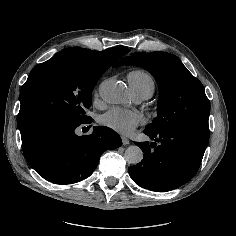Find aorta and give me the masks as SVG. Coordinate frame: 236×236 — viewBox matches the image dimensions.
<instances>
[{
	"instance_id": "762f6f07",
	"label": "aorta",
	"mask_w": 236,
	"mask_h": 236,
	"mask_svg": "<svg viewBox=\"0 0 236 236\" xmlns=\"http://www.w3.org/2000/svg\"><path fill=\"white\" fill-rule=\"evenodd\" d=\"M100 95L107 103H121L125 99V87L122 83L115 80H108L101 85ZM128 163L136 165L143 159L141 148L136 145L129 146L124 153Z\"/></svg>"
}]
</instances>
